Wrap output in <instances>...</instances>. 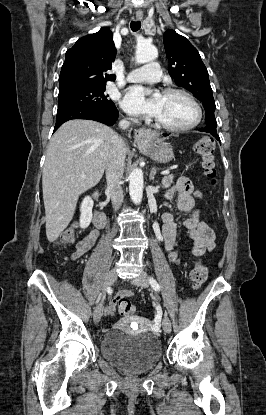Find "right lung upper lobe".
<instances>
[{
  "label": "right lung upper lobe",
  "instance_id": "cb5924a9",
  "mask_svg": "<svg viewBox=\"0 0 266 415\" xmlns=\"http://www.w3.org/2000/svg\"><path fill=\"white\" fill-rule=\"evenodd\" d=\"M115 57L113 34L107 27L78 39L66 52L59 76V93L115 80V75L104 73L111 69Z\"/></svg>",
  "mask_w": 266,
  "mask_h": 415
}]
</instances>
